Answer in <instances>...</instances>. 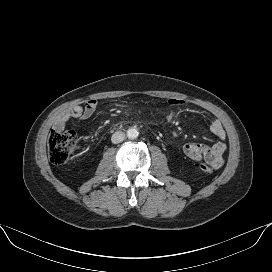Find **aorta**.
<instances>
[{
    "label": "aorta",
    "mask_w": 272,
    "mask_h": 272,
    "mask_svg": "<svg viewBox=\"0 0 272 272\" xmlns=\"http://www.w3.org/2000/svg\"><path fill=\"white\" fill-rule=\"evenodd\" d=\"M127 136L129 139H135L138 137V130L136 128H130L127 131Z\"/></svg>",
    "instance_id": "762f6f07"
}]
</instances>
